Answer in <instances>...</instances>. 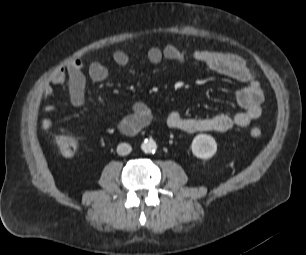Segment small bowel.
<instances>
[{
	"label": "small bowel",
	"instance_id": "c3829d8e",
	"mask_svg": "<svg viewBox=\"0 0 306 255\" xmlns=\"http://www.w3.org/2000/svg\"><path fill=\"white\" fill-rule=\"evenodd\" d=\"M147 59L152 64H159L163 60L184 64L191 60L210 71L245 84V87L238 90L235 96L236 102L241 108L240 111L204 118L185 117L177 111H171L165 117V122L170 128L188 133L202 131L224 132L234 126L246 127L262 114L263 89L256 79L254 70L242 57L236 54L208 49H199L187 53L178 45L171 43L163 48H149ZM112 60L121 67L128 65L130 61L129 55L119 49L112 53ZM85 69L89 78L94 82L104 81L109 75L108 67L102 62L93 60L86 63L82 58H75L52 75L50 84L43 89L44 98H49L54 94V87L66 85L71 105L74 107L82 106L85 101L86 89ZM45 109L47 112H51L54 107L49 104ZM153 119H155V116L150 108L146 104L138 102L134 104L132 113L119 122V128L124 133L132 134ZM41 127L43 130L49 131L52 128V121L48 118L43 119Z\"/></svg>",
	"mask_w": 306,
	"mask_h": 255
}]
</instances>
